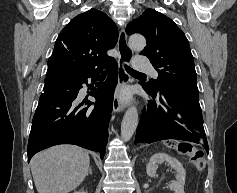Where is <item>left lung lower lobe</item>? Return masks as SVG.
Wrapping results in <instances>:
<instances>
[{"label": "left lung lower lobe", "mask_w": 237, "mask_h": 193, "mask_svg": "<svg viewBox=\"0 0 237 193\" xmlns=\"http://www.w3.org/2000/svg\"><path fill=\"white\" fill-rule=\"evenodd\" d=\"M141 85L153 100L148 101L147 112L141 116L135 144L177 139L198 143L208 153L198 91L169 89L157 92L146 83Z\"/></svg>", "instance_id": "obj_1"}]
</instances>
